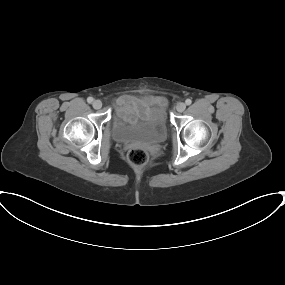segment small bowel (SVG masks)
Segmentation results:
<instances>
[{"instance_id":"obj_1","label":"small bowel","mask_w":285,"mask_h":285,"mask_svg":"<svg viewBox=\"0 0 285 285\" xmlns=\"http://www.w3.org/2000/svg\"><path fill=\"white\" fill-rule=\"evenodd\" d=\"M121 102L131 106L126 110L128 118L130 120H133L136 117L145 116L153 104L165 106V101L163 98L153 96H148L142 99L126 96L122 98Z\"/></svg>"}]
</instances>
